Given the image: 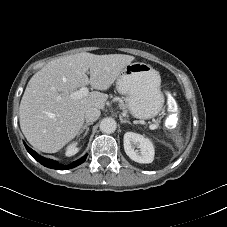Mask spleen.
Listing matches in <instances>:
<instances>
[{"label":"spleen","mask_w":227,"mask_h":227,"mask_svg":"<svg viewBox=\"0 0 227 227\" xmlns=\"http://www.w3.org/2000/svg\"><path fill=\"white\" fill-rule=\"evenodd\" d=\"M177 146H178V147H181V146H182V139H181V138H179V139L177 140Z\"/></svg>","instance_id":"obj_1"}]
</instances>
